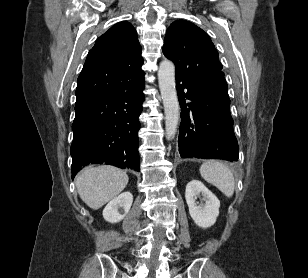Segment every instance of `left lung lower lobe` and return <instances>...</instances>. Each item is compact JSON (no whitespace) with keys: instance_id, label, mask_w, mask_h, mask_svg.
Returning <instances> with one entry per match:
<instances>
[{"instance_id":"1","label":"left lung lower lobe","mask_w":308,"mask_h":278,"mask_svg":"<svg viewBox=\"0 0 308 278\" xmlns=\"http://www.w3.org/2000/svg\"><path fill=\"white\" fill-rule=\"evenodd\" d=\"M176 87L182 108L178 138L181 157L236 161L239 146L224 73L192 81L176 77Z\"/></svg>"}]
</instances>
